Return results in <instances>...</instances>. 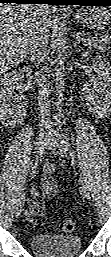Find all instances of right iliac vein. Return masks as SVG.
I'll return each mask as SVG.
<instances>
[{"instance_id":"obj_1","label":"right iliac vein","mask_w":111,"mask_h":257,"mask_svg":"<svg viewBox=\"0 0 111 257\" xmlns=\"http://www.w3.org/2000/svg\"><path fill=\"white\" fill-rule=\"evenodd\" d=\"M48 143V137L44 134L40 135L37 142V158H40ZM24 201H19L16 205V217H19L23 211Z\"/></svg>"}]
</instances>
